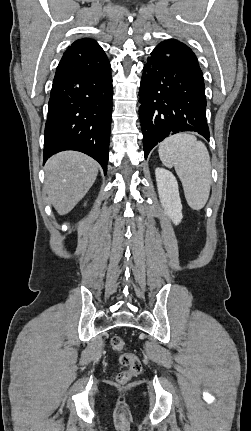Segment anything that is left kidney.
Listing matches in <instances>:
<instances>
[{"label":"left kidney","instance_id":"5707ae66","mask_svg":"<svg viewBox=\"0 0 251 431\" xmlns=\"http://www.w3.org/2000/svg\"><path fill=\"white\" fill-rule=\"evenodd\" d=\"M157 189L162 207L174 224L183 218L178 183L175 176L164 168H156Z\"/></svg>","mask_w":251,"mask_h":431}]
</instances>
